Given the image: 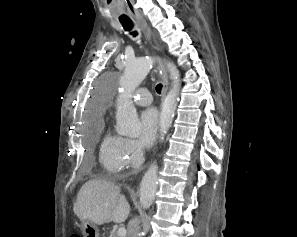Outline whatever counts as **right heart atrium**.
<instances>
[{"mask_svg":"<svg viewBox=\"0 0 297 237\" xmlns=\"http://www.w3.org/2000/svg\"><path fill=\"white\" fill-rule=\"evenodd\" d=\"M143 156V149L140 144L132 139H126L124 144V162L126 167H137Z\"/></svg>","mask_w":297,"mask_h":237,"instance_id":"right-heart-atrium-1","label":"right heart atrium"}]
</instances>
